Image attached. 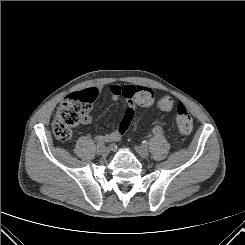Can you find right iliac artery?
Returning a JSON list of instances; mask_svg holds the SVG:
<instances>
[{
	"label": "right iliac artery",
	"mask_w": 245,
	"mask_h": 245,
	"mask_svg": "<svg viewBox=\"0 0 245 245\" xmlns=\"http://www.w3.org/2000/svg\"><path fill=\"white\" fill-rule=\"evenodd\" d=\"M110 147L109 143H104L103 141H99L97 144V148H99L100 150L102 149V151H107L108 148Z\"/></svg>",
	"instance_id": "right-iliac-artery-1"
}]
</instances>
